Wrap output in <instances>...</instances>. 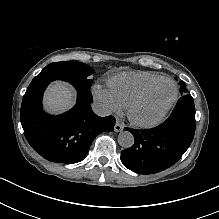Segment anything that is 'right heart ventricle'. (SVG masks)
I'll return each mask as SVG.
<instances>
[{"label":"right heart ventricle","instance_id":"obj_1","mask_svg":"<svg viewBox=\"0 0 219 219\" xmlns=\"http://www.w3.org/2000/svg\"><path fill=\"white\" fill-rule=\"evenodd\" d=\"M162 76L151 72H129L109 81V92L120 106L126 108L143 90Z\"/></svg>","mask_w":219,"mask_h":219}]
</instances>
